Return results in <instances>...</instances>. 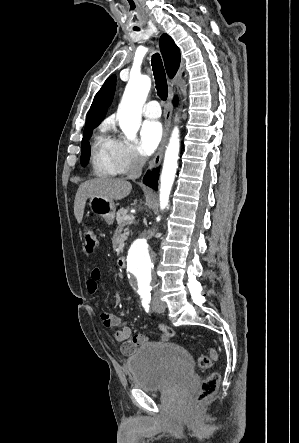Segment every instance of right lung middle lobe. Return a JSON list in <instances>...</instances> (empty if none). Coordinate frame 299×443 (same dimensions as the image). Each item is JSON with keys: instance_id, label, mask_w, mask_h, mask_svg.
Wrapping results in <instances>:
<instances>
[{"instance_id": "1", "label": "right lung middle lobe", "mask_w": 299, "mask_h": 443, "mask_svg": "<svg viewBox=\"0 0 299 443\" xmlns=\"http://www.w3.org/2000/svg\"><path fill=\"white\" fill-rule=\"evenodd\" d=\"M98 125H92L89 127H86L84 130V137L81 144V165L84 167L88 163V160L90 158V144L87 141L91 134L92 130L97 127Z\"/></svg>"}]
</instances>
